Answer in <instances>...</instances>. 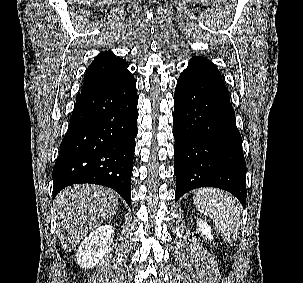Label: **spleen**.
I'll return each instance as SVG.
<instances>
[{
  "label": "spleen",
  "instance_id": "obj_1",
  "mask_svg": "<svg viewBox=\"0 0 303 283\" xmlns=\"http://www.w3.org/2000/svg\"><path fill=\"white\" fill-rule=\"evenodd\" d=\"M193 201L202 214L213 220L224 241L233 242L238 238L241 213L230 194L215 188H203L194 194Z\"/></svg>",
  "mask_w": 303,
  "mask_h": 283
}]
</instances>
